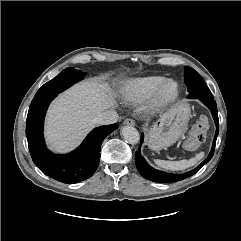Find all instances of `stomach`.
Instances as JSON below:
<instances>
[{
    "label": "stomach",
    "instance_id": "stomach-1",
    "mask_svg": "<svg viewBox=\"0 0 241 241\" xmlns=\"http://www.w3.org/2000/svg\"><path fill=\"white\" fill-rule=\"evenodd\" d=\"M190 118V106L181 101L162 113L148 129L147 144L150 149L159 151L173 145L183 134Z\"/></svg>",
    "mask_w": 241,
    "mask_h": 241
}]
</instances>
